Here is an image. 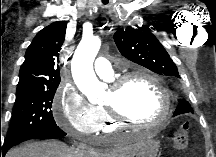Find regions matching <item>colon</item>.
I'll list each match as a JSON object with an SVG mask.
<instances>
[{"instance_id": "5ec220e1", "label": "colon", "mask_w": 216, "mask_h": 157, "mask_svg": "<svg viewBox=\"0 0 216 157\" xmlns=\"http://www.w3.org/2000/svg\"><path fill=\"white\" fill-rule=\"evenodd\" d=\"M190 142V124L183 121L178 125L174 135V148L178 151H185Z\"/></svg>"}]
</instances>
